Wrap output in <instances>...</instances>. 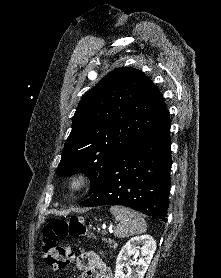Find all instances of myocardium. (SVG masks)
<instances>
[{
	"label": "myocardium",
	"instance_id": "f54148a6",
	"mask_svg": "<svg viewBox=\"0 0 221 278\" xmlns=\"http://www.w3.org/2000/svg\"><path fill=\"white\" fill-rule=\"evenodd\" d=\"M90 175L86 171H77L69 179V191L74 194L82 193L89 185Z\"/></svg>",
	"mask_w": 221,
	"mask_h": 278
}]
</instances>
